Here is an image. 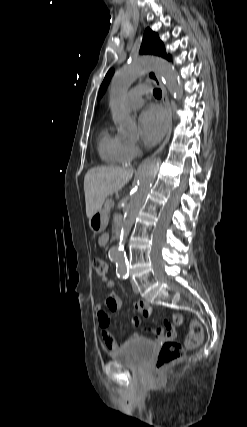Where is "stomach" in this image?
Wrapping results in <instances>:
<instances>
[{
  "mask_svg": "<svg viewBox=\"0 0 247 427\" xmlns=\"http://www.w3.org/2000/svg\"><path fill=\"white\" fill-rule=\"evenodd\" d=\"M108 224V216L103 210L98 211L89 219V226L94 233H101Z\"/></svg>",
  "mask_w": 247,
  "mask_h": 427,
  "instance_id": "0dacf381",
  "label": "stomach"
}]
</instances>
